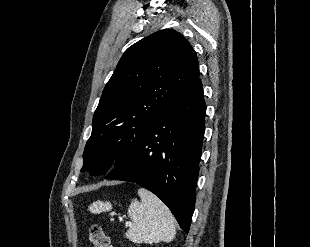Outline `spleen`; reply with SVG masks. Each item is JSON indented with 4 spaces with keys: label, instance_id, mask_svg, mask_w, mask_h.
Masks as SVG:
<instances>
[{
    "label": "spleen",
    "instance_id": "1",
    "mask_svg": "<svg viewBox=\"0 0 310 247\" xmlns=\"http://www.w3.org/2000/svg\"><path fill=\"white\" fill-rule=\"evenodd\" d=\"M138 195L141 201L133 199L128 216L132 220L126 238L134 243L171 242L176 234L175 219L168 207L153 193L140 188ZM111 209L110 202L96 201L89 210L101 213Z\"/></svg>",
    "mask_w": 310,
    "mask_h": 247
}]
</instances>
